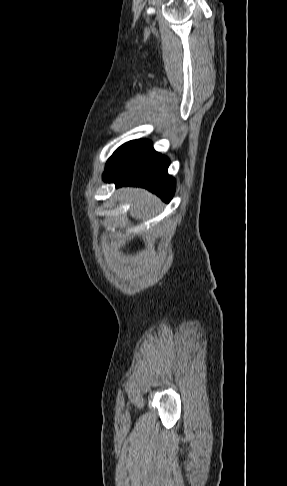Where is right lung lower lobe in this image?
<instances>
[{
  "label": "right lung lower lobe",
  "mask_w": 287,
  "mask_h": 486,
  "mask_svg": "<svg viewBox=\"0 0 287 486\" xmlns=\"http://www.w3.org/2000/svg\"><path fill=\"white\" fill-rule=\"evenodd\" d=\"M168 166V158L156 152L150 141L137 140L108 159L103 180L114 182L117 187H144L169 202L175 180L168 175Z\"/></svg>",
  "instance_id": "right-lung-lower-lobe-1"
}]
</instances>
